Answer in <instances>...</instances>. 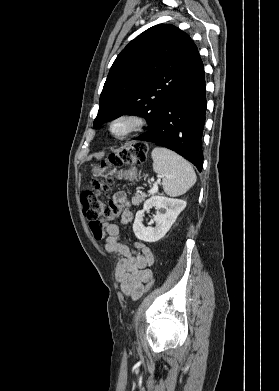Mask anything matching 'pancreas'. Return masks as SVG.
<instances>
[{"instance_id": "obj_1", "label": "pancreas", "mask_w": 279, "mask_h": 391, "mask_svg": "<svg viewBox=\"0 0 279 391\" xmlns=\"http://www.w3.org/2000/svg\"><path fill=\"white\" fill-rule=\"evenodd\" d=\"M152 195V193H150L149 195H146V194H141V193H136L133 197H132V204L135 205V206H138L140 203H142L145 198L147 196H150Z\"/></svg>"}]
</instances>
